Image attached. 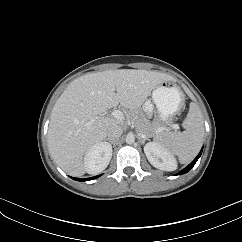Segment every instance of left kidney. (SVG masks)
Returning a JSON list of instances; mask_svg holds the SVG:
<instances>
[{"instance_id": "5707ae66", "label": "left kidney", "mask_w": 242, "mask_h": 242, "mask_svg": "<svg viewBox=\"0 0 242 242\" xmlns=\"http://www.w3.org/2000/svg\"><path fill=\"white\" fill-rule=\"evenodd\" d=\"M144 152L150 164L157 169L174 171L177 168V161L172 153L156 142L147 143Z\"/></svg>"}]
</instances>
